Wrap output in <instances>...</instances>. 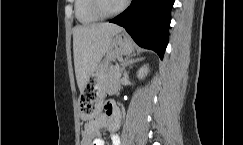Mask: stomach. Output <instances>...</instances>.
Returning a JSON list of instances; mask_svg holds the SVG:
<instances>
[{
	"label": "stomach",
	"mask_w": 243,
	"mask_h": 145,
	"mask_svg": "<svg viewBox=\"0 0 243 145\" xmlns=\"http://www.w3.org/2000/svg\"><path fill=\"white\" fill-rule=\"evenodd\" d=\"M134 48L130 40L124 34H116L112 40L105 62L98 65L85 83L84 91L78 98V106L82 117L86 120L98 116L103 106L104 90L106 83L110 80L108 76V62L115 60L118 56L130 55Z\"/></svg>",
	"instance_id": "obj_1"
}]
</instances>
